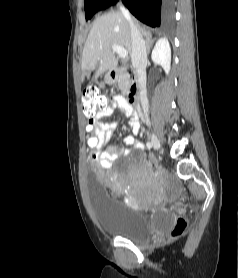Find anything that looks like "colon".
<instances>
[{
    "instance_id": "colon-1",
    "label": "colon",
    "mask_w": 238,
    "mask_h": 278,
    "mask_svg": "<svg viewBox=\"0 0 238 278\" xmlns=\"http://www.w3.org/2000/svg\"><path fill=\"white\" fill-rule=\"evenodd\" d=\"M114 104L112 98H108L104 94H101L97 89L91 88L86 90L82 96V111L84 118L88 121L89 126L86 127V140L84 146H88L87 153L89 159H92L96 153V148L99 146V141H94V138H99L100 133H94V122L97 116L106 110L111 108ZM182 193L186 194L187 190L185 186L181 187ZM187 228V221L183 217H178L173 223L169 235L172 238H178L182 236Z\"/></svg>"
}]
</instances>
